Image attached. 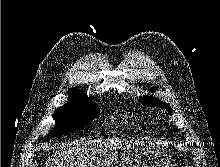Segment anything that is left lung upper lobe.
<instances>
[{
	"label": "left lung upper lobe",
	"mask_w": 220,
	"mask_h": 167,
	"mask_svg": "<svg viewBox=\"0 0 220 167\" xmlns=\"http://www.w3.org/2000/svg\"><path fill=\"white\" fill-rule=\"evenodd\" d=\"M157 89H158L157 87H152L150 90L154 92ZM139 101L147 106L164 107L167 109L169 114L171 113V107L169 106V104L162 102L161 100L154 98L152 96H148V95L143 96L139 99Z\"/></svg>",
	"instance_id": "5c2ea615"
}]
</instances>
